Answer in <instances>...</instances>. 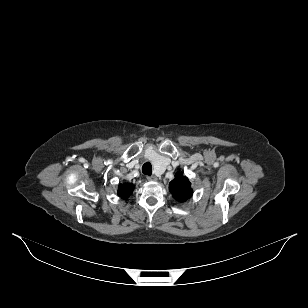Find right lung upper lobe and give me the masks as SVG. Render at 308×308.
Masks as SVG:
<instances>
[{
    "instance_id": "cb5924a9",
    "label": "right lung upper lobe",
    "mask_w": 308,
    "mask_h": 308,
    "mask_svg": "<svg viewBox=\"0 0 308 308\" xmlns=\"http://www.w3.org/2000/svg\"><path fill=\"white\" fill-rule=\"evenodd\" d=\"M133 191V185L131 184H124L120 185L118 189V194L123 199H127Z\"/></svg>"
}]
</instances>
